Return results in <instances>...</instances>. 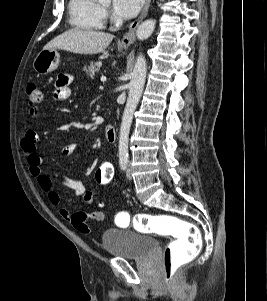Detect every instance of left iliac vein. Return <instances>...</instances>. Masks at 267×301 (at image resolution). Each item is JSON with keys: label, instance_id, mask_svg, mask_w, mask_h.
I'll list each match as a JSON object with an SVG mask.
<instances>
[{"label": "left iliac vein", "instance_id": "left-iliac-vein-1", "mask_svg": "<svg viewBox=\"0 0 267 301\" xmlns=\"http://www.w3.org/2000/svg\"><path fill=\"white\" fill-rule=\"evenodd\" d=\"M126 175H127V178H128L129 180H132V172H131L130 165H128V169H127Z\"/></svg>", "mask_w": 267, "mask_h": 301}]
</instances>
